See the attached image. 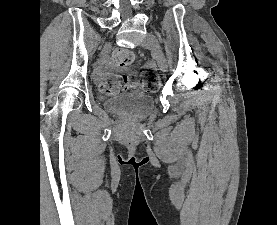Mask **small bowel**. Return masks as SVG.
I'll use <instances>...</instances> for the list:
<instances>
[{
  "mask_svg": "<svg viewBox=\"0 0 277 225\" xmlns=\"http://www.w3.org/2000/svg\"><path fill=\"white\" fill-rule=\"evenodd\" d=\"M104 76H105L104 71L102 69H99L97 72V79L102 82V80L104 79Z\"/></svg>",
  "mask_w": 277,
  "mask_h": 225,
  "instance_id": "c3829d8e",
  "label": "small bowel"
}]
</instances>
